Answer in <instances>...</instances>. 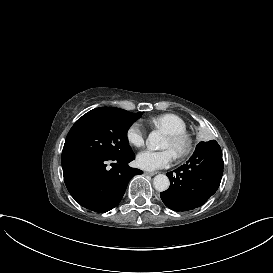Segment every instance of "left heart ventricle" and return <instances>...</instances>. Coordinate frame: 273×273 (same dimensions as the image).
<instances>
[{
	"mask_svg": "<svg viewBox=\"0 0 273 273\" xmlns=\"http://www.w3.org/2000/svg\"><path fill=\"white\" fill-rule=\"evenodd\" d=\"M163 147H169L173 150V152L176 151V149L178 148V143L177 142H174V141H171L167 136L165 138V141H164V144H163Z\"/></svg>",
	"mask_w": 273,
	"mask_h": 273,
	"instance_id": "obj_1",
	"label": "left heart ventricle"
}]
</instances>
